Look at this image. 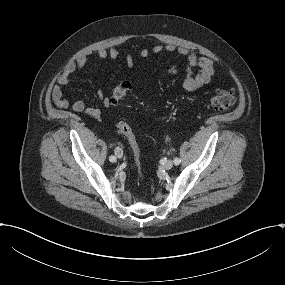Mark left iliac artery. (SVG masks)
Returning a JSON list of instances; mask_svg holds the SVG:
<instances>
[{
    "label": "left iliac artery",
    "mask_w": 285,
    "mask_h": 285,
    "mask_svg": "<svg viewBox=\"0 0 285 285\" xmlns=\"http://www.w3.org/2000/svg\"><path fill=\"white\" fill-rule=\"evenodd\" d=\"M173 162L175 165H179L181 160L179 158H175Z\"/></svg>",
    "instance_id": "44dca946"
}]
</instances>
